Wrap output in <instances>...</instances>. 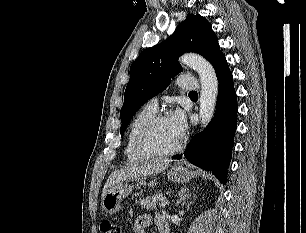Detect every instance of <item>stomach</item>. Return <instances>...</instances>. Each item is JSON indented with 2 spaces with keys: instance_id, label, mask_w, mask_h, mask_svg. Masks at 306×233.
<instances>
[{
  "instance_id": "0dacf381",
  "label": "stomach",
  "mask_w": 306,
  "mask_h": 233,
  "mask_svg": "<svg viewBox=\"0 0 306 233\" xmlns=\"http://www.w3.org/2000/svg\"><path fill=\"white\" fill-rule=\"evenodd\" d=\"M195 173L182 165L173 166L168 172V180L177 183L188 182ZM157 183L151 181L148 185L154 186ZM140 185H146L144 182H140ZM139 187V185H137ZM133 185L124 184L123 182L116 184L112 187L102 199V208L105 212L109 214L116 213L122 209L121 202L126 198L133 190Z\"/></svg>"
}]
</instances>
